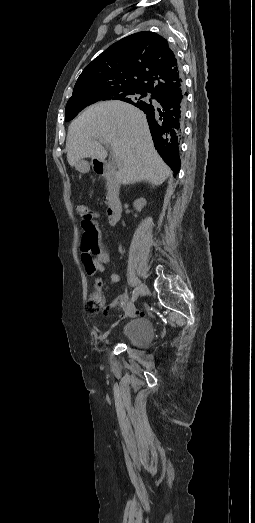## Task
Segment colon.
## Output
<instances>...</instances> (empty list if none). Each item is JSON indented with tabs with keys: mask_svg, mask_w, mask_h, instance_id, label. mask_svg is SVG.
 Listing matches in <instances>:
<instances>
[{
	"mask_svg": "<svg viewBox=\"0 0 255 523\" xmlns=\"http://www.w3.org/2000/svg\"><path fill=\"white\" fill-rule=\"evenodd\" d=\"M75 208L81 222H89L92 219V214L87 204L78 203Z\"/></svg>",
	"mask_w": 255,
	"mask_h": 523,
	"instance_id": "1",
	"label": "colon"
}]
</instances>
